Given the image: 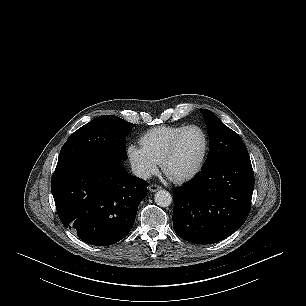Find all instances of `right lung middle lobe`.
Returning a JSON list of instances; mask_svg holds the SVG:
<instances>
[{
    "label": "right lung middle lobe",
    "instance_id": "dd1d6c3e",
    "mask_svg": "<svg viewBox=\"0 0 306 306\" xmlns=\"http://www.w3.org/2000/svg\"><path fill=\"white\" fill-rule=\"evenodd\" d=\"M134 124L114 115L93 119L63 145L55 170L85 159L126 160V137Z\"/></svg>",
    "mask_w": 306,
    "mask_h": 306
}]
</instances>
